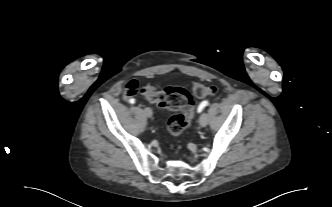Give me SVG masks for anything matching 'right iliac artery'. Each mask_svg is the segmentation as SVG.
<instances>
[{
    "label": "right iliac artery",
    "instance_id": "82829eb1",
    "mask_svg": "<svg viewBox=\"0 0 332 207\" xmlns=\"http://www.w3.org/2000/svg\"><path fill=\"white\" fill-rule=\"evenodd\" d=\"M129 102H130L131 104H134V103H135V99L132 98V99L129 100Z\"/></svg>",
    "mask_w": 332,
    "mask_h": 207
}]
</instances>
